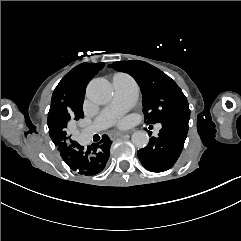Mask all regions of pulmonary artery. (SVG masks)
<instances>
[{
	"label": "pulmonary artery",
	"mask_w": 241,
	"mask_h": 241,
	"mask_svg": "<svg viewBox=\"0 0 241 241\" xmlns=\"http://www.w3.org/2000/svg\"><path fill=\"white\" fill-rule=\"evenodd\" d=\"M114 96L108 105L97 115L95 122L98 126H107L114 118L120 117L134 105L136 87L128 74H115L112 79ZM156 132L161 130L159 125L154 127Z\"/></svg>",
	"instance_id": "pulmonary-artery-1"
}]
</instances>
